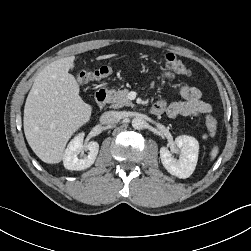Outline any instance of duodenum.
Masks as SVG:
<instances>
[{
  "label": "duodenum",
  "mask_w": 251,
  "mask_h": 251,
  "mask_svg": "<svg viewBox=\"0 0 251 251\" xmlns=\"http://www.w3.org/2000/svg\"><path fill=\"white\" fill-rule=\"evenodd\" d=\"M108 98H109V88L108 87L100 88L95 94L96 103L101 108L107 104ZM150 112H151V114H158L159 109L155 105H153L150 108Z\"/></svg>",
  "instance_id": "obj_1"
}]
</instances>
